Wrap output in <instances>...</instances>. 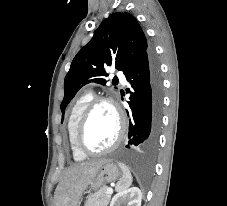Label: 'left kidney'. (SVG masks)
<instances>
[{"instance_id":"5707ae66","label":"left kidney","mask_w":227,"mask_h":206,"mask_svg":"<svg viewBox=\"0 0 227 206\" xmlns=\"http://www.w3.org/2000/svg\"><path fill=\"white\" fill-rule=\"evenodd\" d=\"M141 199V190L137 187H131L114 195L110 206H121L124 201H127V206H141Z\"/></svg>"}]
</instances>
